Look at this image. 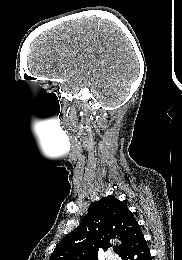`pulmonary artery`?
<instances>
[{
  "label": "pulmonary artery",
  "mask_w": 182,
  "mask_h": 260,
  "mask_svg": "<svg viewBox=\"0 0 182 260\" xmlns=\"http://www.w3.org/2000/svg\"><path fill=\"white\" fill-rule=\"evenodd\" d=\"M106 260H121V258L118 255L109 254Z\"/></svg>",
  "instance_id": "pulmonary-artery-1"
}]
</instances>
